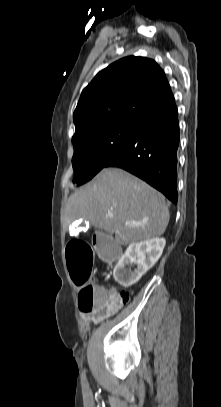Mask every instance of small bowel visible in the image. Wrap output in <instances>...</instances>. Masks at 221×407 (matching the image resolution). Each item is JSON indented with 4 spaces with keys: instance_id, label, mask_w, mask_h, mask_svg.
Returning <instances> with one entry per match:
<instances>
[{
    "instance_id": "small-bowel-1",
    "label": "small bowel",
    "mask_w": 221,
    "mask_h": 407,
    "mask_svg": "<svg viewBox=\"0 0 221 407\" xmlns=\"http://www.w3.org/2000/svg\"><path fill=\"white\" fill-rule=\"evenodd\" d=\"M107 316H109V315H100V314H96V313H91L90 319L92 322H98Z\"/></svg>"
}]
</instances>
